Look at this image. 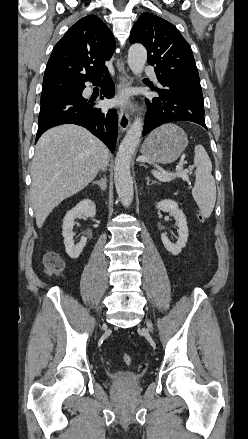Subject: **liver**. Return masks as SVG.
<instances>
[{
	"label": "liver",
	"instance_id": "liver-1",
	"mask_svg": "<svg viewBox=\"0 0 248 439\" xmlns=\"http://www.w3.org/2000/svg\"><path fill=\"white\" fill-rule=\"evenodd\" d=\"M108 158L107 147L83 127L67 124L46 131L31 164L30 198L38 228L63 200L83 190Z\"/></svg>",
	"mask_w": 248,
	"mask_h": 439
}]
</instances>
